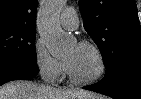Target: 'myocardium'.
I'll return each mask as SVG.
<instances>
[{
  "mask_svg": "<svg viewBox=\"0 0 141 99\" xmlns=\"http://www.w3.org/2000/svg\"><path fill=\"white\" fill-rule=\"evenodd\" d=\"M78 45L89 47L96 53L98 60H99V71L95 76H93L91 78L82 79V78L77 77L74 74L70 64L67 61H65L68 76L73 83L78 84V85L94 84V83L98 82L104 76V74L106 72L105 56H104L102 50L100 49V47L97 44H95L94 42H91V41H88V40H82L78 43Z\"/></svg>",
  "mask_w": 141,
  "mask_h": 99,
  "instance_id": "f54148a6",
  "label": "myocardium"
}]
</instances>
